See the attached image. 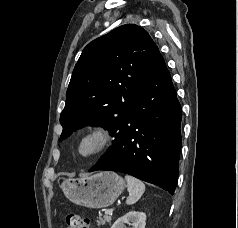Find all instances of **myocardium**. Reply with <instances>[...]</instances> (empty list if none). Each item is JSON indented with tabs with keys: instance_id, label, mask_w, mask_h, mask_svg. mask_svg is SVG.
<instances>
[{
	"instance_id": "f54148a6",
	"label": "myocardium",
	"mask_w": 238,
	"mask_h": 228,
	"mask_svg": "<svg viewBox=\"0 0 238 228\" xmlns=\"http://www.w3.org/2000/svg\"><path fill=\"white\" fill-rule=\"evenodd\" d=\"M110 130L100 124L86 129L78 138L75 145L76 154L83 159H90L105 151L111 144ZM85 147H87L85 149Z\"/></svg>"
}]
</instances>
